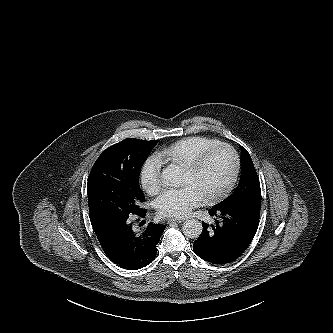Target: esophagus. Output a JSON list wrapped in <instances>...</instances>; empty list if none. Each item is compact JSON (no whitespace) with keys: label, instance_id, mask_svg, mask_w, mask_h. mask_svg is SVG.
<instances>
[{"label":"esophagus","instance_id":"esophagus-1","mask_svg":"<svg viewBox=\"0 0 333 333\" xmlns=\"http://www.w3.org/2000/svg\"><path fill=\"white\" fill-rule=\"evenodd\" d=\"M184 220L183 219H169L168 223H182Z\"/></svg>","mask_w":333,"mask_h":333}]
</instances>
